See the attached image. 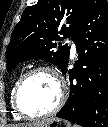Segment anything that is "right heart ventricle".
<instances>
[{
	"mask_svg": "<svg viewBox=\"0 0 108 127\" xmlns=\"http://www.w3.org/2000/svg\"><path fill=\"white\" fill-rule=\"evenodd\" d=\"M19 79H20V78H18V79L15 80V82H14V84H13V86H12V89H11V93H10L11 106H12L13 108H14V106H13V94H14V90H15V87H16L17 82H18ZM14 109H15V108H14ZM14 112H15L14 115H15L17 118H20V117H21V116L17 113L16 110H15Z\"/></svg>",
	"mask_w": 108,
	"mask_h": 127,
	"instance_id": "obj_1",
	"label": "right heart ventricle"
}]
</instances>
